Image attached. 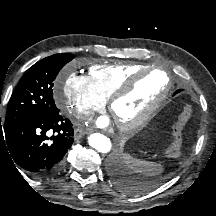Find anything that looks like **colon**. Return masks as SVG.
<instances>
[{
    "label": "colon",
    "mask_w": 216,
    "mask_h": 216,
    "mask_svg": "<svg viewBox=\"0 0 216 216\" xmlns=\"http://www.w3.org/2000/svg\"><path fill=\"white\" fill-rule=\"evenodd\" d=\"M192 108L189 104H184L179 110L178 117L174 123L172 129V140L168 148L166 149V155L168 157H178L182 151V131L191 118Z\"/></svg>",
    "instance_id": "1"
}]
</instances>
